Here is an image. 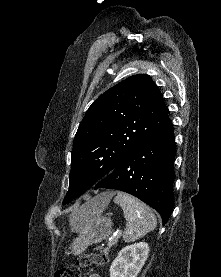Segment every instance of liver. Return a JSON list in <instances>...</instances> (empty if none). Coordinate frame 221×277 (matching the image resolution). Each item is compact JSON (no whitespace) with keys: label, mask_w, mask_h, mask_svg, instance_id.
Here are the masks:
<instances>
[{"label":"liver","mask_w":221,"mask_h":277,"mask_svg":"<svg viewBox=\"0 0 221 277\" xmlns=\"http://www.w3.org/2000/svg\"><path fill=\"white\" fill-rule=\"evenodd\" d=\"M114 193H103L97 197H95V201L97 203H100L103 206L108 205V203L110 202L111 198L113 197ZM73 215V214H72ZM71 215V216H72Z\"/></svg>","instance_id":"6515ba94"}]
</instances>
